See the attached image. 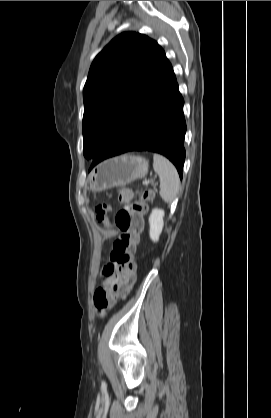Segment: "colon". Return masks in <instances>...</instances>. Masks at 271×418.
<instances>
[{
	"label": "colon",
	"mask_w": 271,
	"mask_h": 418,
	"mask_svg": "<svg viewBox=\"0 0 271 418\" xmlns=\"http://www.w3.org/2000/svg\"><path fill=\"white\" fill-rule=\"evenodd\" d=\"M117 197L125 206L115 215V224L120 235L113 243L108 264L103 268V275L109 276L111 283L109 286L98 288L94 294V305L98 314L109 308L116 297H126L135 282L134 252L143 229L147 202L152 199L153 194L150 190H144L140 199L135 201L131 189L121 188ZM108 211L107 204L97 206V220L107 224Z\"/></svg>",
	"instance_id": "obj_1"
}]
</instances>
